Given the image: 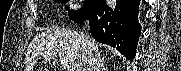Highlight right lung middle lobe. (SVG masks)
<instances>
[{
    "label": "right lung middle lobe",
    "mask_w": 181,
    "mask_h": 71,
    "mask_svg": "<svg viewBox=\"0 0 181 71\" xmlns=\"http://www.w3.org/2000/svg\"><path fill=\"white\" fill-rule=\"evenodd\" d=\"M55 2H61V3H66L68 2V0H54ZM97 0H88L85 2L84 6L82 7V9L78 10V11H74V10H69V7H66L68 11V15H69V18L72 19V18H79V17H82L84 16L88 11L89 9H91L95 4H96Z\"/></svg>",
    "instance_id": "dd1d6c3e"
}]
</instances>
